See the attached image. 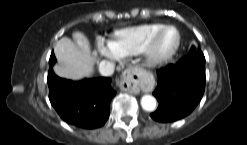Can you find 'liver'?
I'll return each mask as SVG.
<instances>
[{"label":"liver","instance_id":"obj_1","mask_svg":"<svg viewBox=\"0 0 247 145\" xmlns=\"http://www.w3.org/2000/svg\"><path fill=\"white\" fill-rule=\"evenodd\" d=\"M73 38L75 43L67 37L56 43L54 53L58 64L54 72L62 78L79 81L92 75L98 58L96 53L91 54L89 42L82 33L75 32Z\"/></svg>","mask_w":247,"mask_h":145}]
</instances>
